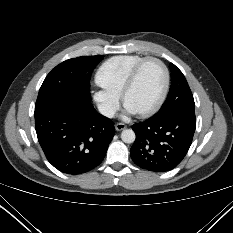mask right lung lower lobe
Here are the masks:
<instances>
[{"mask_svg": "<svg viewBox=\"0 0 233 233\" xmlns=\"http://www.w3.org/2000/svg\"><path fill=\"white\" fill-rule=\"evenodd\" d=\"M38 141L47 160L66 174H82L104 159L115 134L114 123L91 101L51 100L35 108Z\"/></svg>", "mask_w": 233, "mask_h": 233, "instance_id": "right-lung-lower-lobe-1", "label": "right lung lower lobe"}]
</instances>
